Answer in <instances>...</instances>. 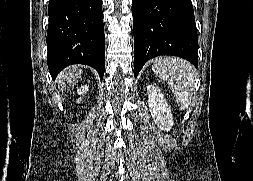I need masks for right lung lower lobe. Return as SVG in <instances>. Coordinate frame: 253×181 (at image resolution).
Instances as JSON below:
<instances>
[{
  "label": "right lung lower lobe",
  "mask_w": 253,
  "mask_h": 181,
  "mask_svg": "<svg viewBox=\"0 0 253 181\" xmlns=\"http://www.w3.org/2000/svg\"><path fill=\"white\" fill-rule=\"evenodd\" d=\"M48 68L53 79L65 67L87 64L103 78L105 39L102 0H50Z\"/></svg>",
  "instance_id": "1"
}]
</instances>
